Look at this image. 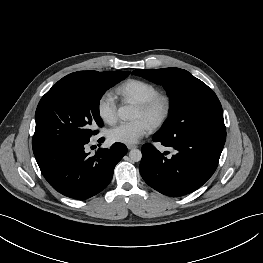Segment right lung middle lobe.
Here are the masks:
<instances>
[{
  "label": "right lung middle lobe",
  "mask_w": 263,
  "mask_h": 263,
  "mask_svg": "<svg viewBox=\"0 0 263 263\" xmlns=\"http://www.w3.org/2000/svg\"><path fill=\"white\" fill-rule=\"evenodd\" d=\"M129 74V71H96L78 83L55 84L37 106L32 139L34 155L61 144L89 140L97 134L93 126L103 125L99 116L102 95Z\"/></svg>",
  "instance_id": "dd1d6c3e"
}]
</instances>
